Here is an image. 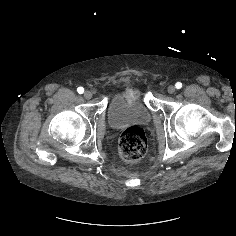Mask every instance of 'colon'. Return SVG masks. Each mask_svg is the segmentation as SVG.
I'll list each match as a JSON object with an SVG mask.
<instances>
[{"instance_id":"1","label":"colon","mask_w":236,"mask_h":236,"mask_svg":"<svg viewBox=\"0 0 236 236\" xmlns=\"http://www.w3.org/2000/svg\"><path fill=\"white\" fill-rule=\"evenodd\" d=\"M147 139L144 131L138 126H131L123 131L119 140V152L127 162H136L143 158L147 151Z\"/></svg>"}]
</instances>
